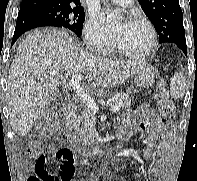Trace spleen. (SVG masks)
Listing matches in <instances>:
<instances>
[{"instance_id":"obj_1","label":"spleen","mask_w":197,"mask_h":181,"mask_svg":"<svg viewBox=\"0 0 197 181\" xmlns=\"http://www.w3.org/2000/svg\"><path fill=\"white\" fill-rule=\"evenodd\" d=\"M185 76L182 72L175 73L170 83V95L173 99L182 98L185 94Z\"/></svg>"}]
</instances>
